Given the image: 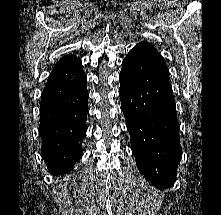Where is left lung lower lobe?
Listing matches in <instances>:
<instances>
[{"label": "left lung lower lobe", "mask_w": 221, "mask_h": 215, "mask_svg": "<svg viewBox=\"0 0 221 215\" xmlns=\"http://www.w3.org/2000/svg\"><path fill=\"white\" fill-rule=\"evenodd\" d=\"M119 80L137 167L153 185L170 187L182 152L166 63L153 46L139 43L123 60Z\"/></svg>", "instance_id": "obj_1"}]
</instances>
